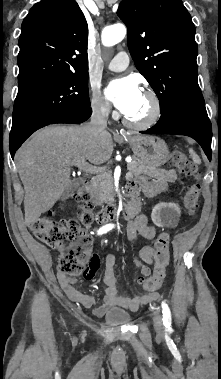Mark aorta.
<instances>
[{
	"label": "aorta",
	"instance_id": "762f6f07",
	"mask_svg": "<svg viewBox=\"0 0 221 379\" xmlns=\"http://www.w3.org/2000/svg\"><path fill=\"white\" fill-rule=\"evenodd\" d=\"M126 28L122 24H115L104 28L102 32V43L104 46L111 47L124 39Z\"/></svg>",
	"mask_w": 221,
	"mask_h": 379
}]
</instances>
